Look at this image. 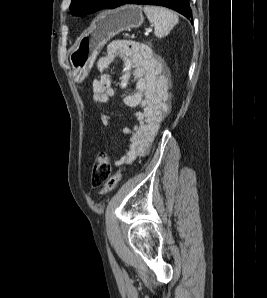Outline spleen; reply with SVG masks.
Segmentation results:
<instances>
[{"label":"spleen","instance_id":"spleen-1","mask_svg":"<svg viewBox=\"0 0 267 298\" xmlns=\"http://www.w3.org/2000/svg\"><path fill=\"white\" fill-rule=\"evenodd\" d=\"M143 10L148 20L154 25V33L158 38L168 35L179 22L178 15L164 7L146 5Z\"/></svg>","mask_w":267,"mask_h":298}]
</instances>
